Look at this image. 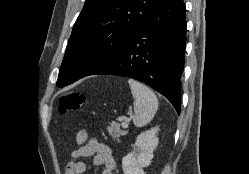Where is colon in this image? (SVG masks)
<instances>
[{
    "label": "colon",
    "instance_id": "colon-1",
    "mask_svg": "<svg viewBox=\"0 0 249 174\" xmlns=\"http://www.w3.org/2000/svg\"><path fill=\"white\" fill-rule=\"evenodd\" d=\"M86 102V96L81 91H71L59 99L61 113L80 111Z\"/></svg>",
    "mask_w": 249,
    "mask_h": 174
}]
</instances>
